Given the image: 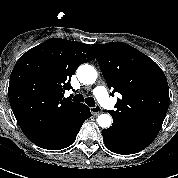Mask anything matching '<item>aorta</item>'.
<instances>
[{
    "label": "aorta",
    "mask_w": 178,
    "mask_h": 178,
    "mask_svg": "<svg viewBox=\"0 0 178 178\" xmlns=\"http://www.w3.org/2000/svg\"><path fill=\"white\" fill-rule=\"evenodd\" d=\"M78 80L82 84H93L97 79L96 69L88 64L80 65L77 69ZM97 123L102 128H109L112 124V117L109 114H101L97 118Z\"/></svg>",
    "instance_id": "aorta-1"
}]
</instances>
